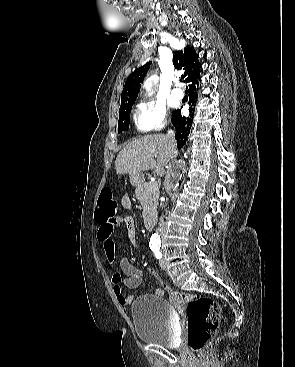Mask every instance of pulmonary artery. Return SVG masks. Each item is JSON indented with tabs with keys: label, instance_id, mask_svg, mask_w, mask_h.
I'll use <instances>...</instances> for the list:
<instances>
[{
	"label": "pulmonary artery",
	"instance_id": "pulmonary-artery-1",
	"mask_svg": "<svg viewBox=\"0 0 295 367\" xmlns=\"http://www.w3.org/2000/svg\"><path fill=\"white\" fill-rule=\"evenodd\" d=\"M183 96H184V93H183V91L180 88H175L172 91V97L174 99L181 100L183 98Z\"/></svg>",
	"mask_w": 295,
	"mask_h": 367
}]
</instances>
